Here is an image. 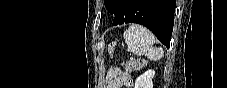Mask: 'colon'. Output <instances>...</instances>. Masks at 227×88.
Segmentation results:
<instances>
[{"mask_svg":"<svg viewBox=\"0 0 227 88\" xmlns=\"http://www.w3.org/2000/svg\"><path fill=\"white\" fill-rule=\"evenodd\" d=\"M125 86L126 87H132V84L130 82H128Z\"/></svg>","mask_w":227,"mask_h":88,"instance_id":"1","label":"colon"}]
</instances>
